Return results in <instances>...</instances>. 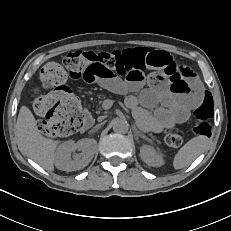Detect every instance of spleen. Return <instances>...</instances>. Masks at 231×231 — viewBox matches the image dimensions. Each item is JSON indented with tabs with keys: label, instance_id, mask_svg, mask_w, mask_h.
Returning <instances> with one entry per match:
<instances>
[{
	"label": "spleen",
	"instance_id": "3e777b00",
	"mask_svg": "<svg viewBox=\"0 0 231 231\" xmlns=\"http://www.w3.org/2000/svg\"><path fill=\"white\" fill-rule=\"evenodd\" d=\"M208 138L203 135L196 136L189 140L175 155L173 166L181 169L190 165L207 146Z\"/></svg>",
	"mask_w": 231,
	"mask_h": 231
}]
</instances>
